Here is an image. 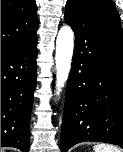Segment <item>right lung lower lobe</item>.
I'll list each match as a JSON object with an SVG mask.
<instances>
[{
    "label": "right lung lower lobe",
    "instance_id": "right-lung-lower-lobe-1",
    "mask_svg": "<svg viewBox=\"0 0 123 152\" xmlns=\"http://www.w3.org/2000/svg\"><path fill=\"white\" fill-rule=\"evenodd\" d=\"M37 37L1 50V147L29 152Z\"/></svg>",
    "mask_w": 123,
    "mask_h": 152
}]
</instances>
